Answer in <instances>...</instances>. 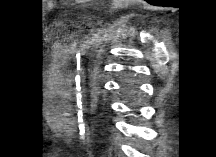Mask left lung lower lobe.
<instances>
[{
  "label": "left lung lower lobe",
  "mask_w": 216,
  "mask_h": 157,
  "mask_svg": "<svg viewBox=\"0 0 216 157\" xmlns=\"http://www.w3.org/2000/svg\"><path fill=\"white\" fill-rule=\"evenodd\" d=\"M126 88L129 92L133 93L134 92V89L131 87V85H126Z\"/></svg>",
  "instance_id": "1"
}]
</instances>
